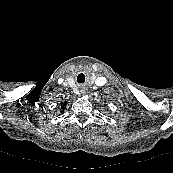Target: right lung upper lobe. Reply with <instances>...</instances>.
<instances>
[{"mask_svg":"<svg viewBox=\"0 0 173 173\" xmlns=\"http://www.w3.org/2000/svg\"><path fill=\"white\" fill-rule=\"evenodd\" d=\"M67 104V102H64V105H66ZM62 109H64V106H62Z\"/></svg>","mask_w":173,"mask_h":173,"instance_id":"right-lung-upper-lobe-1","label":"right lung upper lobe"}]
</instances>
